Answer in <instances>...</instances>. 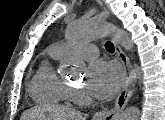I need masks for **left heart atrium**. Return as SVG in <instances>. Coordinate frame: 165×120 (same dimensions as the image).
Here are the masks:
<instances>
[{"label":"left heart atrium","mask_w":165,"mask_h":120,"mask_svg":"<svg viewBox=\"0 0 165 120\" xmlns=\"http://www.w3.org/2000/svg\"><path fill=\"white\" fill-rule=\"evenodd\" d=\"M88 75V90L100 98L113 96L119 90L123 80L119 66L103 60L93 62L89 67Z\"/></svg>","instance_id":"left-heart-atrium-1"}]
</instances>
